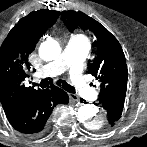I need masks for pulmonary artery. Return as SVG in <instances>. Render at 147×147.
Wrapping results in <instances>:
<instances>
[{"instance_id":"obj_1","label":"pulmonary artery","mask_w":147,"mask_h":147,"mask_svg":"<svg viewBox=\"0 0 147 147\" xmlns=\"http://www.w3.org/2000/svg\"><path fill=\"white\" fill-rule=\"evenodd\" d=\"M89 49V41L83 35H72L63 51L61 60L44 67L42 75L54 76L68 69L76 92L85 99L94 100L96 91L82 76L83 62Z\"/></svg>"}]
</instances>
